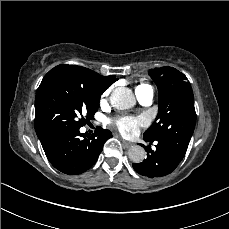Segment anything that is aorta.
<instances>
[{"mask_svg": "<svg viewBox=\"0 0 229 229\" xmlns=\"http://www.w3.org/2000/svg\"><path fill=\"white\" fill-rule=\"evenodd\" d=\"M110 102L114 108L125 110L133 107L136 100L131 89L118 87L112 92ZM145 156L146 152L144 148L139 145L132 146L128 151V157L134 163H141L145 159Z\"/></svg>", "mask_w": 229, "mask_h": 229, "instance_id": "1", "label": "aorta"}]
</instances>
